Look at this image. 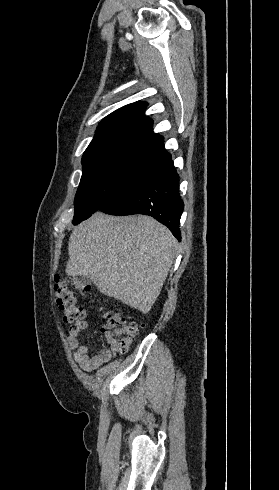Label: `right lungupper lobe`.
Here are the masks:
<instances>
[{"instance_id":"obj_1","label":"right lung upper lobe","mask_w":279,"mask_h":490,"mask_svg":"<svg viewBox=\"0 0 279 490\" xmlns=\"http://www.w3.org/2000/svg\"><path fill=\"white\" fill-rule=\"evenodd\" d=\"M146 102L126 105L105 117L82 157V165L125 160L157 164L170 154L164 138L153 132Z\"/></svg>"}]
</instances>
